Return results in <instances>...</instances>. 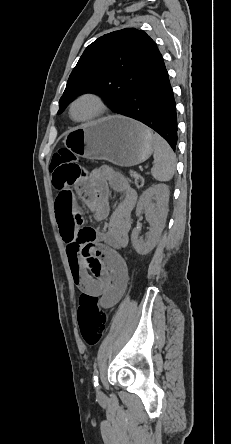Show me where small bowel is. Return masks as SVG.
Instances as JSON below:
<instances>
[{
  "label": "small bowel",
  "mask_w": 231,
  "mask_h": 444,
  "mask_svg": "<svg viewBox=\"0 0 231 444\" xmlns=\"http://www.w3.org/2000/svg\"><path fill=\"white\" fill-rule=\"evenodd\" d=\"M57 187V186H56ZM56 220L66 244L74 283L83 292L99 299L109 308L123 296L129 279L128 267L120 254L129 242L131 212L137 195L129 182L109 166L95 169L88 179L79 181L77 193L96 220L108 218L103 234L85 236L69 186L57 187ZM122 194V200L110 213L109 190Z\"/></svg>",
  "instance_id": "small-bowel-1"
}]
</instances>
